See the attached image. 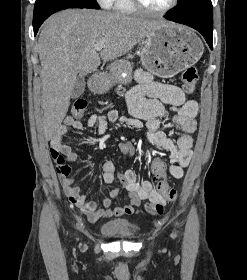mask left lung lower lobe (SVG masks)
<instances>
[{
  "label": "left lung lower lobe",
  "instance_id": "1",
  "mask_svg": "<svg viewBox=\"0 0 247 280\" xmlns=\"http://www.w3.org/2000/svg\"><path fill=\"white\" fill-rule=\"evenodd\" d=\"M165 18L194 28L203 35L209 47L213 49V16H177L169 13Z\"/></svg>",
  "mask_w": 247,
  "mask_h": 280
}]
</instances>
